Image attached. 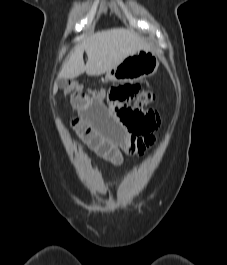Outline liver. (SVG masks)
<instances>
[{"label":"liver","mask_w":227,"mask_h":265,"mask_svg":"<svg viewBox=\"0 0 227 265\" xmlns=\"http://www.w3.org/2000/svg\"><path fill=\"white\" fill-rule=\"evenodd\" d=\"M140 49H149V45L132 30L113 28L98 31L76 45L63 65L59 78L74 79L84 72L88 76L101 75ZM84 51L88 57L86 64L83 60Z\"/></svg>","instance_id":"6515ba94"}]
</instances>
